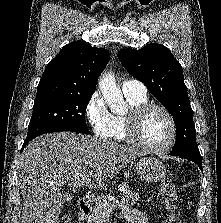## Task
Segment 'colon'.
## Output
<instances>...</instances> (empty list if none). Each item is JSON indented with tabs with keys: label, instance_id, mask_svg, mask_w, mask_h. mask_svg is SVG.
<instances>
[{
	"label": "colon",
	"instance_id": "obj_1",
	"mask_svg": "<svg viewBox=\"0 0 221 223\" xmlns=\"http://www.w3.org/2000/svg\"><path fill=\"white\" fill-rule=\"evenodd\" d=\"M159 200L163 204L162 215L165 223H182L180 219L179 209L174 204L177 196V190L174 183L170 179H164L159 187ZM58 223H71L67 216L59 218Z\"/></svg>",
	"mask_w": 221,
	"mask_h": 223
}]
</instances>
